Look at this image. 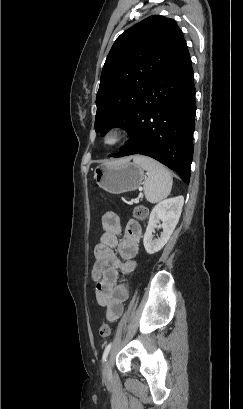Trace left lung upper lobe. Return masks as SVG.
Returning <instances> with one entry per match:
<instances>
[{
    "mask_svg": "<svg viewBox=\"0 0 243 409\" xmlns=\"http://www.w3.org/2000/svg\"><path fill=\"white\" fill-rule=\"evenodd\" d=\"M184 40L173 19L152 15L123 32L102 69L96 96V132L128 129L152 79Z\"/></svg>",
    "mask_w": 243,
    "mask_h": 409,
    "instance_id": "5c2ea615",
    "label": "left lung upper lobe"
}]
</instances>
